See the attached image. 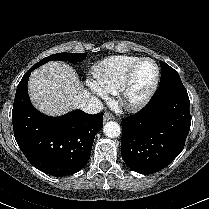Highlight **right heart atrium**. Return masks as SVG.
Wrapping results in <instances>:
<instances>
[{
  "mask_svg": "<svg viewBox=\"0 0 209 209\" xmlns=\"http://www.w3.org/2000/svg\"><path fill=\"white\" fill-rule=\"evenodd\" d=\"M88 86L98 96H100L102 98L106 97V93L99 87V85L97 83L89 81Z\"/></svg>",
  "mask_w": 209,
  "mask_h": 209,
  "instance_id": "obj_1",
  "label": "right heart atrium"
}]
</instances>
